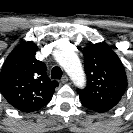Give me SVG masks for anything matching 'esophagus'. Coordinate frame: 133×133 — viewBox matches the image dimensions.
<instances>
[{"label": "esophagus", "instance_id": "obj_1", "mask_svg": "<svg viewBox=\"0 0 133 133\" xmlns=\"http://www.w3.org/2000/svg\"><path fill=\"white\" fill-rule=\"evenodd\" d=\"M68 80H69L68 76H67V75H64V76L62 77V79H61V83L65 84V83L68 82Z\"/></svg>", "mask_w": 133, "mask_h": 133}]
</instances>
